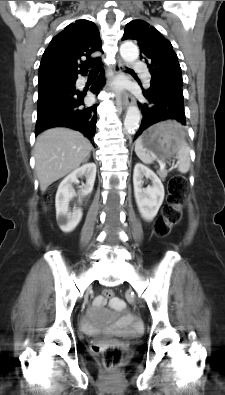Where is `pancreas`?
Wrapping results in <instances>:
<instances>
[{"instance_id": "1", "label": "pancreas", "mask_w": 225, "mask_h": 395, "mask_svg": "<svg viewBox=\"0 0 225 395\" xmlns=\"http://www.w3.org/2000/svg\"><path fill=\"white\" fill-rule=\"evenodd\" d=\"M158 174L160 175V177L162 178V179H165V177L167 176V171H159L158 172Z\"/></svg>"}]
</instances>
